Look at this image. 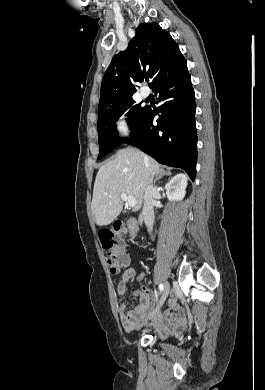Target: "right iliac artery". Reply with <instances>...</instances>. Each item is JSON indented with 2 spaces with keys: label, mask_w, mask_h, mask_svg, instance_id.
<instances>
[{
  "label": "right iliac artery",
  "mask_w": 265,
  "mask_h": 390,
  "mask_svg": "<svg viewBox=\"0 0 265 390\" xmlns=\"http://www.w3.org/2000/svg\"><path fill=\"white\" fill-rule=\"evenodd\" d=\"M163 289H164V285H163V284H160V285H159V290H160V292H162Z\"/></svg>",
  "instance_id": "obj_1"
}]
</instances>
